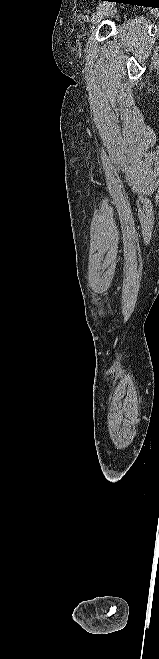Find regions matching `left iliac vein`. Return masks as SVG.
<instances>
[{"label":"left iliac vein","instance_id":"left-iliac-vein-1","mask_svg":"<svg viewBox=\"0 0 159 659\" xmlns=\"http://www.w3.org/2000/svg\"><path fill=\"white\" fill-rule=\"evenodd\" d=\"M110 11H111L110 4L105 3V5L97 9L95 13L92 15L91 23L93 25L98 24L105 16H107L110 13Z\"/></svg>","mask_w":159,"mask_h":659}]
</instances>
